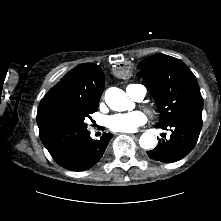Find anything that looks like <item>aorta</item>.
I'll use <instances>...</instances> for the list:
<instances>
[{
  "instance_id": "1",
  "label": "aorta",
  "mask_w": 221,
  "mask_h": 221,
  "mask_svg": "<svg viewBox=\"0 0 221 221\" xmlns=\"http://www.w3.org/2000/svg\"><path fill=\"white\" fill-rule=\"evenodd\" d=\"M105 102L114 111H125L132 107L127 94L116 87H111L106 91ZM155 143V136L150 132L143 133L139 139V144L144 149L154 148Z\"/></svg>"
}]
</instances>
